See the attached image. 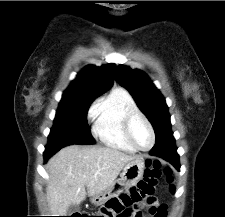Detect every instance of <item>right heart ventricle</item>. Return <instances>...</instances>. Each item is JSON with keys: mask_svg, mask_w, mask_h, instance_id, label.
<instances>
[{"mask_svg": "<svg viewBox=\"0 0 225 217\" xmlns=\"http://www.w3.org/2000/svg\"><path fill=\"white\" fill-rule=\"evenodd\" d=\"M137 109L132 95L123 88L113 89L94 109V133L108 148L135 153L124 134L126 114Z\"/></svg>", "mask_w": 225, "mask_h": 217, "instance_id": "1", "label": "right heart ventricle"}]
</instances>
